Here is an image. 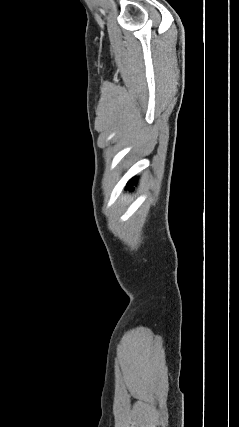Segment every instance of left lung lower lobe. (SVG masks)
<instances>
[{"mask_svg":"<svg viewBox=\"0 0 239 427\" xmlns=\"http://www.w3.org/2000/svg\"><path fill=\"white\" fill-rule=\"evenodd\" d=\"M135 183V180H131L128 184L129 186H132Z\"/></svg>","mask_w":239,"mask_h":427,"instance_id":"0a47b994","label":"left lung lower lobe"}]
</instances>
